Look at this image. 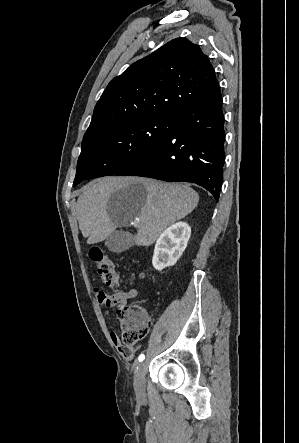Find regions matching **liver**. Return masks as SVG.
<instances>
[{"instance_id": "6515ba94", "label": "liver", "mask_w": 299, "mask_h": 443, "mask_svg": "<svg viewBox=\"0 0 299 443\" xmlns=\"http://www.w3.org/2000/svg\"><path fill=\"white\" fill-rule=\"evenodd\" d=\"M77 200L79 228L87 244L101 242L117 227L140 220L133 243L150 246L174 222L198 205V193L185 184L139 177H103L85 185Z\"/></svg>"}]
</instances>
